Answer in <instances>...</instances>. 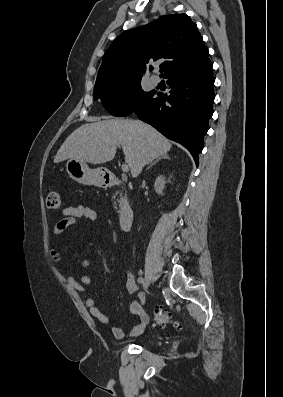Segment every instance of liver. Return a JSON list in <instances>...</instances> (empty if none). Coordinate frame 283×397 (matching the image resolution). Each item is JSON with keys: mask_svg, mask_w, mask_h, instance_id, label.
I'll return each instance as SVG.
<instances>
[{"mask_svg": "<svg viewBox=\"0 0 283 397\" xmlns=\"http://www.w3.org/2000/svg\"><path fill=\"white\" fill-rule=\"evenodd\" d=\"M122 146L132 177L143 167L167 154L170 141L152 126L140 121L110 119L87 123L72 132L58 150L54 162L75 158L91 164L111 161Z\"/></svg>", "mask_w": 283, "mask_h": 397, "instance_id": "liver-1", "label": "liver"}]
</instances>
